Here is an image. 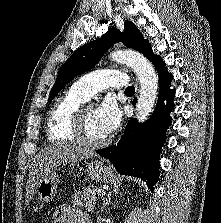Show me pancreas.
Masks as SVG:
<instances>
[{
	"mask_svg": "<svg viewBox=\"0 0 221 223\" xmlns=\"http://www.w3.org/2000/svg\"><path fill=\"white\" fill-rule=\"evenodd\" d=\"M102 192L103 190L101 188L87 186L72 196L71 203H73L74 206H85L88 212L93 213L97 200L96 195Z\"/></svg>",
	"mask_w": 221,
	"mask_h": 223,
	"instance_id": "cf45deb5",
	"label": "pancreas"
}]
</instances>
